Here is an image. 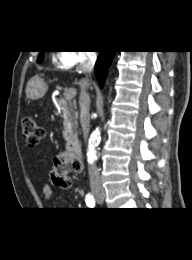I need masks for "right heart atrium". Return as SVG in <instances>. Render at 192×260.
I'll return each instance as SVG.
<instances>
[{
    "label": "right heart atrium",
    "mask_w": 192,
    "mask_h": 260,
    "mask_svg": "<svg viewBox=\"0 0 192 260\" xmlns=\"http://www.w3.org/2000/svg\"><path fill=\"white\" fill-rule=\"evenodd\" d=\"M90 58L91 55L89 52L70 50L60 51L56 56L58 65L64 69H70L77 65L86 63Z\"/></svg>",
    "instance_id": "1"
}]
</instances>
